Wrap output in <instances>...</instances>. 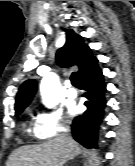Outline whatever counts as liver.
<instances>
[{"label":"liver","mask_w":135,"mask_h":166,"mask_svg":"<svg viewBox=\"0 0 135 166\" xmlns=\"http://www.w3.org/2000/svg\"><path fill=\"white\" fill-rule=\"evenodd\" d=\"M80 152L71 137L60 136L39 145L22 146L12 152L6 166H62Z\"/></svg>","instance_id":"liver-1"}]
</instances>
